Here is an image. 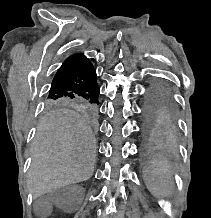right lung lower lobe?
<instances>
[{"label": "right lung lower lobe", "mask_w": 211, "mask_h": 218, "mask_svg": "<svg viewBox=\"0 0 211 218\" xmlns=\"http://www.w3.org/2000/svg\"><path fill=\"white\" fill-rule=\"evenodd\" d=\"M47 97H80L99 103V87L96 72L82 54L67 58L58 69Z\"/></svg>", "instance_id": "98d812e1"}]
</instances>
